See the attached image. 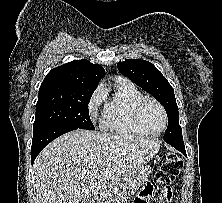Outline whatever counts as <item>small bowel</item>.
<instances>
[{
  "instance_id": "obj_1",
  "label": "small bowel",
  "mask_w": 222,
  "mask_h": 203,
  "mask_svg": "<svg viewBox=\"0 0 222 203\" xmlns=\"http://www.w3.org/2000/svg\"><path fill=\"white\" fill-rule=\"evenodd\" d=\"M170 198H171V191H170V189H169V190H168V198H167L166 202H168Z\"/></svg>"
}]
</instances>
